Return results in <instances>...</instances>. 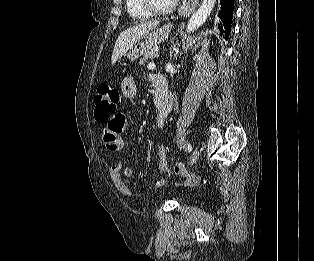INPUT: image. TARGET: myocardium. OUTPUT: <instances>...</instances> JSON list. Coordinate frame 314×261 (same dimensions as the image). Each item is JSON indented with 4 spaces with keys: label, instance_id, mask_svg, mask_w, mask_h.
<instances>
[{
    "label": "myocardium",
    "instance_id": "obj_1",
    "mask_svg": "<svg viewBox=\"0 0 314 261\" xmlns=\"http://www.w3.org/2000/svg\"><path fill=\"white\" fill-rule=\"evenodd\" d=\"M139 1L141 6L152 15H167L175 9L178 2V0H173L167 7L159 8L154 5L152 0Z\"/></svg>",
    "mask_w": 314,
    "mask_h": 261
}]
</instances>
